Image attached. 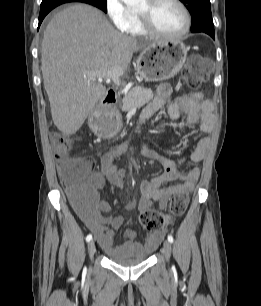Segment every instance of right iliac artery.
Wrapping results in <instances>:
<instances>
[{
	"label": "right iliac artery",
	"mask_w": 261,
	"mask_h": 306,
	"mask_svg": "<svg viewBox=\"0 0 261 306\" xmlns=\"http://www.w3.org/2000/svg\"><path fill=\"white\" fill-rule=\"evenodd\" d=\"M91 239H92V235H91V234L87 235L86 241H87V242H90Z\"/></svg>",
	"instance_id": "obj_1"
}]
</instances>
